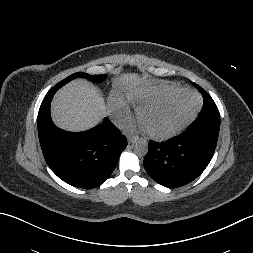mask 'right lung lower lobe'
Listing matches in <instances>:
<instances>
[{
    "label": "right lung lower lobe",
    "mask_w": 253,
    "mask_h": 253,
    "mask_svg": "<svg viewBox=\"0 0 253 253\" xmlns=\"http://www.w3.org/2000/svg\"><path fill=\"white\" fill-rule=\"evenodd\" d=\"M52 88L38 114V135L44 158L64 182L79 188L100 186L115 169L127 141L107 118L100 127L70 133L58 129L50 116Z\"/></svg>",
    "instance_id": "98d812e1"
}]
</instances>
